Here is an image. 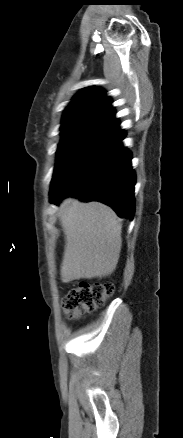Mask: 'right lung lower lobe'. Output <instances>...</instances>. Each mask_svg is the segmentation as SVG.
<instances>
[{
	"label": "right lung lower lobe",
	"instance_id": "98d812e1",
	"mask_svg": "<svg viewBox=\"0 0 183 438\" xmlns=\"http://www.w3.org/2000/svg\"><path fill=\"white\" fill-rule=\"evenodd\" d=\"M126 133L113 122L100 128L52 181L50 202L66 196L100 201L120 217L132 219L135 211V172L131 152L122 146Z\"/></svg>",
	"mask_w": 183,
	"mask_h": 438
}]
</instances>
